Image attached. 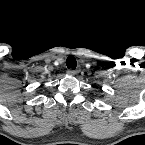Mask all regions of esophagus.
<instances>
[{
    "instance_id": "34e87169",
    "label": "esophagus",
    "mask_w": 145,
    "mask_h": 145,
    "mask_svg": "<svg viewBox=\"0 0 145 145\" xmlns=\"http://www.w3.org/2000/svg\"><path fill=\"white\" fill-rule=\"evenodd\" d=\"M80 72V70L79 69H77V70H73V69H70V70H68V74L69 75H76V74H78Z\"/></svg>"
}]
</instances>
